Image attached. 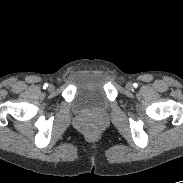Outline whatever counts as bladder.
I'll list each match as a JSON object with an SVG mask.
<instances>
[{
    "label": "bladder",
    "instance_id": "bladder-1",
    "mask_svg": "<svg viewBox=\"0 0 183 183\" xmlns=\"http://www.w3.org/2000/svg\"><path fill=\"white\" fill-rule=\"evenodd\" d=\"M73 105L77 110L106 109L108 99L103 73L86 71L75 77Z\"/></svg>",
    "mask_w": 183,
    "mask_h": 183
}]
</instances>
